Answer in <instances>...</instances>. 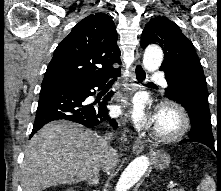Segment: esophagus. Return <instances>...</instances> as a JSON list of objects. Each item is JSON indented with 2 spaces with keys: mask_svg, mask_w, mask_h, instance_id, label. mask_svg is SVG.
Here are the masks:
<instances>
[{
  "mask_svg": "<svg viewBox=\"0 0 221 191\" xmlns=\"http://www.w3.org/2000/svg\"><path fill=\"white\" fill-rule=\"evenodd\" d=\"M132 80L134 82V90L141 88L142 84L147 81V73L140 61L136 62L133 67ZM144 146V142L140 139H137L132 148L133 154H140L144 150Z\"/></svg>",
  "mask_w": 221,
  "mask_h": 191,
  "instance_id": "34e87169",
  "label": "esophagus"
}]
</instances>
